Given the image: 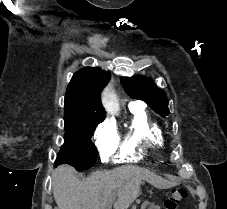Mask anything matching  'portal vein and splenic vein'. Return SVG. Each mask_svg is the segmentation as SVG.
Listing matches in <instances>:
<instances>
[{
	"label": "portal vein and splenic vein",
	"instance_id": "1",
	"mask_svg": "<svg viewBox=\"0 0 227 209\" xmlns=\"http://www.w3.org/2000/svg\"><path fill=\"white\" fill-rule=\"evenodd\" d=\"M147 202H148L147 200L143 201L142 204L140 205L141 206L140 209H146Z\"/></svg>",
	"mask_w": 227,
	"mask_h": 209
}]
</instances>
